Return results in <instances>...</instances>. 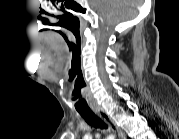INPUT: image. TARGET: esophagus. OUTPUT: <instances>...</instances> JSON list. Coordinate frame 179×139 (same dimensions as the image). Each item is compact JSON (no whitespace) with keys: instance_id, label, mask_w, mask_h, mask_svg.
Masks as SVG:
<instances>
[{"instance_id":"1","label":"esophagus","mask_w":179,"mask_h":139,"mask_svg":"<svg viewBox=\"0 0 179 139\" xmlns=\"http://www.w3.org/2000/svg\"><path fill=\"white\" fill-rule=\"evenodd\" d=\"M94 112L109 126L119 139H125L124 132L116 125L112 118L103 110L95 109Z\"/></svg>"}]
</instances>
